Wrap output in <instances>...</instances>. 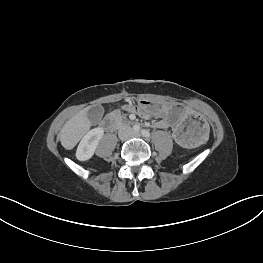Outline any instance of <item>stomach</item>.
Wrapping results in <instances>:
<instances>
[{
    "label": "stomach",
    "instance_id": "obj_1",
    "mask_svg": "<svg viewBox=\"0 0 263 263\" xmlns=\"http://www.w3.org/2000/svg\"><path fill=\"white\" fill-rule=\"evenodd\" d=\"M144 112L152 114L163 126L173 131V138L183 147L202 144L208 137L209 121L203 114H195L180 103L164 104L139 99Z\"/></svg>",
    "mask_w": 263,
    "mask_h": 263
}]
</instances>
